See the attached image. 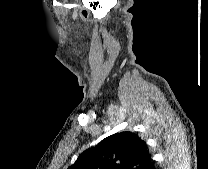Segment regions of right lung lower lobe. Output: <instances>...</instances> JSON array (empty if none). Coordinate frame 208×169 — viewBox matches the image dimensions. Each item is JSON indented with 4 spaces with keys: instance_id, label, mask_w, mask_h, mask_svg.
<instances>
[{
    "instance_id": "obj_1",
    "label": "right lung lower lobe",
    "mask_w": 208,
    "mask_h": 169,
    "mask_svg": "<svg viewBox=\"0 0 208 169\" xmlns=\"http://www.w3.org/2000/svg\"><path fill=\"white\" fill-rule=\"evenodd\" d=\"M146 169H155L154 162L152 161Z\"/></svg>"
}]
</instances>
